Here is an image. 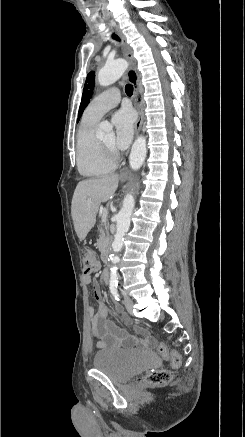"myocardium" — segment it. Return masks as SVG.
Returning <instances> with one entry per match:
<instances>
[{"label":"myocardium","instance_id":"myocardium-1","mask_svg":"<svg viewBox=\"0 0 245 437\" xmlns=\"http://www.w3.org/2000/svg\"><path fill=\"white\" fill-rule=\"evenodd\" d=\"M99 142V146L102 150V152L104 153L105 156H107L110 159H115L116 158V153L114 151L113 148H110L108 146H106L102 141L98 140Z\"/></svg>","mask_w":245,"mask_h":437}]
</instances>
